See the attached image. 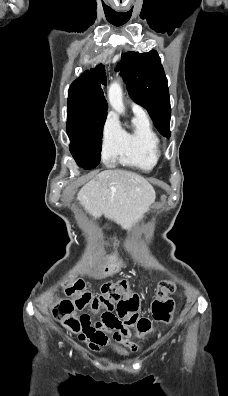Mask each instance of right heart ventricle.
Returning a JSON list of instances; mask_svg holds the SVG:
<instances>
[{
	"label": "right heart ventricle",
	"instance_id": "e07e8e85",
	"mask_svg": "<svg viewBox=\"0 0 228 396\" xmlns=\"http://www.w3.org/2000/svg\"><path fill=\"white\" fill-rule=\"evenodd\" d=\"M161 155L160 140L144 113H135L132 126L122 129V136L117 152L119 163L125 166L152 170Z\"/></svg>",
	"mask_w": 228,
	"mask_h": 396
}]
</instances>
